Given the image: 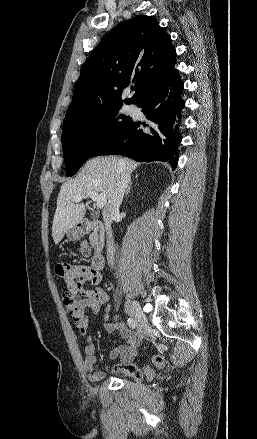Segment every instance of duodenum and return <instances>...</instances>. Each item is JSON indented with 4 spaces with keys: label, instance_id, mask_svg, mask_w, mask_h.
I'll list each match as a JSON object with an SVG mask.
<instances>
[{
    "label": "duodenum",
    "instance_id": "duodenum-1",
    "mask_svg": "<svg viewBox=\"0 0 257 439\" xmlns=\"http://www.w3.org/2000/svg\"><path fill=\"white\" fill-rule=\"evenodd\" d=\"M81 236L91 235L92 245L96 251L92 258V268L100 271L104 266V257L101 254L105 245V229L102 222L97 220H83L78 225Z\"/></svg>",
    "mask_w": 257,
    "mask_h": 439
}]
</instances>
